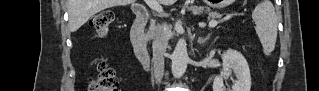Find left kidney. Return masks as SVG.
Wrapping results in <instances>:
<instances>
[{"mask_svg": "<svg viewBox=\"0 0 319 91\" xmlns=\"http://www.w3.org/2000/svg\"><path fill=\"white\" fill-rule=\"evenodd\" d=\"M222 61L223 71L219 76L215 77L213 91H250V69L244 56L236 50L229 49L223 54ZM232 72L235 74L236 80L232 88L227 90L224 86L223 78H228Z\"/></svg>", "mask_w": 319, "mask_h": 91, "instance_id": "obj_1", "label": "left kidney"}]
</instances>
